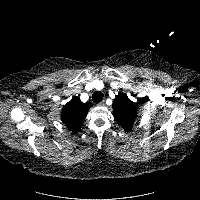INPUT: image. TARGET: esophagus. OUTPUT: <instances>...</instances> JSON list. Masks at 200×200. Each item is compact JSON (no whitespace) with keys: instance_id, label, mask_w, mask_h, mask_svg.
<instances>
[{"instance_id":"esophagus-1","label":"esophagus","mask_w":200,"mask_h":200,"mask_svg":"<svg viewBox=\"0 0 200 200\" xmlns=\"http://www.w3.org/2000/svg\"><path fill=\"white\" fill-rule=\"evenodd\" d=\"M98 106H105V101L98 103Z\"/></svg>"}]
</instances>
